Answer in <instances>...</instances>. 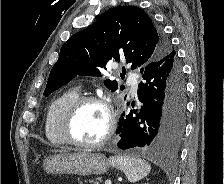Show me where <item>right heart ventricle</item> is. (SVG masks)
Returning <instances> with one entry per match:
<instances>
[{"label":"right heart ventricle","instance_id":"e07e8e85","mask_svg":"<svg viewBox=\"0 0 224 184\" xmlns=\"http://www.w3.org/2000/svg\"><path fill=\"white\" fill-rule=\"evenodd\" d=\"M78 96L77 89H68L49 105L45 119V135L53 145L61 146L67 143L62 132L63 118L67 108Z\"/></svg>","mask_w":224,"mask_h":184}]
</instances>
